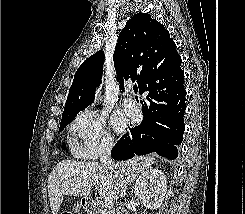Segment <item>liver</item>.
I'll list each match as a JSON object with an SVG mask.
<instances>
[{
    "label": "liver",
    "instance_id": "obj_1",
    "mask_svg": "<svg viewBox=\"0 0 245 214\" xmlns=\"http://www.w3.org/2000/svg\"><path fill=\"white\" fill-rule=\"evenodd\" d=\"M154 158L134 157L117 163L116 169H109L96 162L62 160L56 164L48 177V194L52 214H57L65 195L87 198L92 185L100 196L118 199L120 190L134 182L151 167Z\"/></svg>",
    "mask_w": 245,
    "mask_h": 214
}]
</instances>
